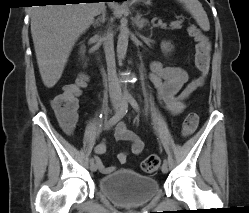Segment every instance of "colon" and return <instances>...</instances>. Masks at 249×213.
I'll return each mask as SVG.
<instances>
[{
	"instance_id": "1",
	"label": "colon",
	"mask_w": 249,
	"mask_h": 213,
	"mask_svg": "<svg viewBox=\"0 0 249 213\" xmlns=\"http://www.w3.org/2000/svg\"><path fill=\"white\" fill-rule=\"evenodd\" d=\"M189 34L196 41L195 64L200 75L199 82L202 83L209 70L211 44L207 36L194 25L189 28ZM87 84V76L81 74L75 81L66 84L63 91L51 101V107L60 121L69 125L76 122L78 97L87 87ZM198 121L199 117L195 112L188 113L182 123V134L185 136L192 134L198 125ZM159 165V157L150 155L143 160L142 170L146 173H153Z\"/></svg>"
}]
</instances>
